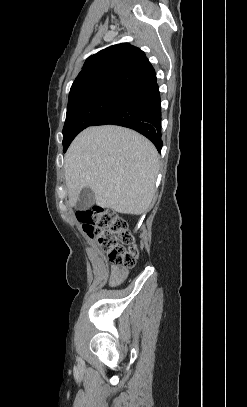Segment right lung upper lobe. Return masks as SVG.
<instances>
[{
	"label": "right lung upper lobe",
	"instance_id": "right-lung-upper-lobe-1",
	"mask_svg": "<svg viewBox=\"0 0 247 407\" xmlns=\"http://www.w3.org/2000/svg\"><path fill=\"white\" fill-rule=\"evenodd\" d=\"M156 81L145 53L128 43L110 46L90 56L72 84L69 101L110 87L139 90Z\"/></svg>",
	"mask_w": 247,
	"mask_h": 407
}]
</instances>
